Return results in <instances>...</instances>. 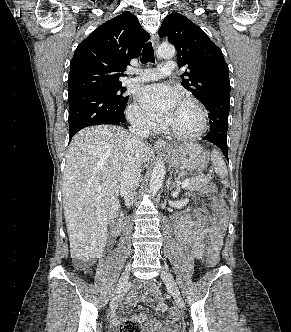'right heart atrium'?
<instances>
[{"instance_id": "1", "label": "right heart atrium", "mask_w": 291, "mask_h": 332, "mask_svg": "<svg viewBox=\"0 0 291 332\" xmlns=\"http://www.w3.org/2000/svg\"><path fill=\"white\" fill-rule=\"evenodd\" d=\"M127 115L130 122L141 129L150 130L154 127V124L137 104H132L128 108Z\"/></svg>"}]
</instances>
